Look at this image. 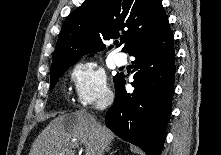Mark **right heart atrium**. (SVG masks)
I'll return each mask as SVG.
<instances>
[{"label":"right heart atrium","mask_w":221,"mask_h":155,"mask_svg":"<svg viewBox=\"0 0 221 155\" xmlns=\"http://www.w3.org/2000/svg\"><path fill=\"white\" fill-rule=\"evenodd\" d=\"M76 102L84 107L112 101L113 92L104 70L93 61H81L70 72Z\"/></svg>","instance_id":"obj_1"}]
</instances>
